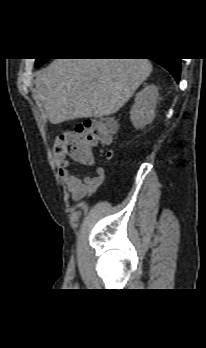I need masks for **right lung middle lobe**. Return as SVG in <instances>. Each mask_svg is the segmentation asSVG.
<instances>
[{"mask_svg": "<svg viewBox=\"0 0 206 348\" xmlns=\"http://www.w3.org/2000/svg\"><path fill=\"white\" fill-rule=\"evenodd\" d=\"M48 59H36V63L35 65L36 66H40L42 65L43 63H45Z\"/></svg>", "mask_w": 206, "mask_h": 348, "instance_id": "1", "label": "right lung middle lobe"}]
</instances>
